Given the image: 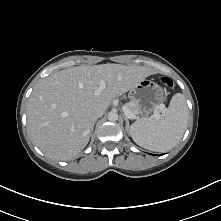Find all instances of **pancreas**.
Listing matches in <instances>:
<instances>
[{"label": "pancreas", "mask_w": 221, "mask_h": 221, "mask_svg": "<svg viewBox=\"0 0 221 221\" xmlns=\"http://www.w3.org/2000/svg\"><path fill=\"white\" fill-rule=\"evenodd\" d=\"M127 107L130 109V111L134 114H138V109L136 108L135 104L130 102Z\"/></svg>", "instance_id": "pancreas-1"}]
</instances>
